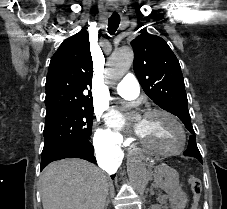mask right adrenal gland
I'll list each match as a JSON object with an SVG mask.
<instances>
[{"instance_id":"2a0ac1e0","label":"right adrenal gland","mask_w":227,"mask_h":209,"mask_svg":"<svg viewBox=\"0 0 227 209\" xmlns=\"http://www.w3.org/2000/svg\"><path fill=\"white\" fill-rule=\"evenodd\" d=\"M110 201H109V197H107V201L105 203V209H107L108 205H109Z\"/></svg>"}]
</instances>
